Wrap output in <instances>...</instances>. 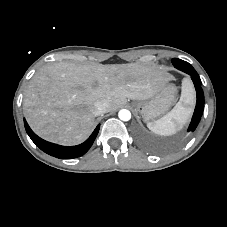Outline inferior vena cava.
Segmentation results:
<instances>
[{
	"mask_svg": "<svg viewBox=\"0 0 227 227\" xmlns=\"http://www.w3.org/2000/svg\"><path fill=\"white\" fill-rule=\"evenodd\" d=\"M109 109V102L106 99L98 100L94 103V116L102 115L108 112Z\"/></svg>",
	"mask_w": 227,
	"mask_h": 227,
	"instance_id": "1",
	"label": "inferior vena cava"
}]
</instances>
